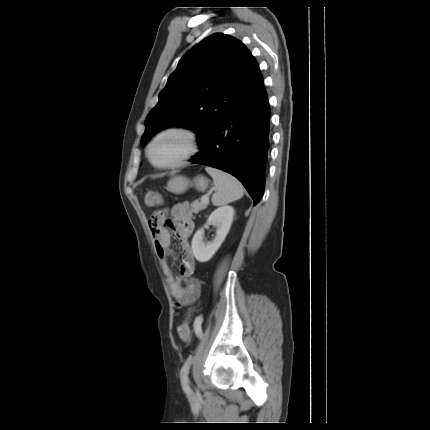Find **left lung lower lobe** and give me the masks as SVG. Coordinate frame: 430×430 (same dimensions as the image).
I'll list each match as a JSON object with an SVG mask.
<instances>
[{"mask_svg":"<svg viewBox=\"0 0 430 430\" xmlns=\"http://www.w3.org/2000/svg\"><path fill=\"white\" fill-rule=\"evenodd\" d=\"M255 89L236 101L198 135L200 152L189 161L226 171L239 179L256 205L264 193L270 148V106L260 70Z\"/></svg>","mask_w":430,"mask_h":430,"instance_id":"0a47b994","label":"left lung lower lobe"}]
</instances>
